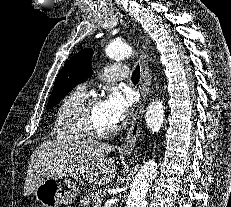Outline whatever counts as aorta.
I'll return each instance as SVG.
<instances>
[{
    "label": "aorta",
    "instance_id": "762f6f07",
    "mask_svg": "<svg viewBox=\"0 0 231 207\" xmlns=\"http://www.w3.org/2000/svg\"><path fill=\"white\" fill-rule=\"evenodd\" d=\"M106 55L114 60H122L130 57L133 48L125 43H110L105 48ZM146 123L152 133H158L164 121V106L160 100L150 103L145 115ZM158 164L155 160L147 161L136 174L131 190L127 198L126 207H146L147 193L155 179Z\"/></svg>",
    "mask_w": 231,
    "mask_h": 207
}]
</instances>
